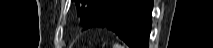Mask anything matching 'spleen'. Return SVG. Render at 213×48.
<instances>
[{"label": "spleen", "instance_id": "spleen-1", "mask_svg": "<svg viewBox=\"0 0 213 48\" xmlns=\"http://www.w3.org/2000/svg\"><path fill=\"white\" fill-rule=\"evenodd\" d=\"M113 48H125V47L122 46V45L119 44V43H115V44L113 45Z\"/></svg>", "mask_w": 213, "mask_h": 48}]
</instances>
